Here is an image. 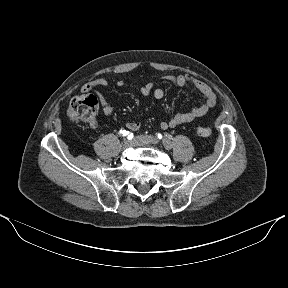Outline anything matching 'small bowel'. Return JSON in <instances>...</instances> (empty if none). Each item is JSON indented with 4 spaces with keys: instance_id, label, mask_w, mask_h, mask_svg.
I'll use <instances>...</instances> for the list:
<instances>
[{
    "instance_id": "small-bowel-1",
    "label": "small bowel",
    "mask_w": 288,
    "mask_h": 288,
    "mask_svg": "<svg viewBox=\"0 0 288 288\" xmlns=\"http://www.w3.org/2000/svg\"><path fill=\"white\" fill-rule=\"evenodd\" d=\"M162 79L178 87L190 85L203 96V101L192 107L190 110L176 112L169 120L162 121L160 127L164 130L174 128L180 124L191 122L194 119L202 117L216 104V95L213 90L206 83L190 75H164L162 76ZM124 84L125 82L123 80L117 81V86L119 87L124 86ZM107 87L108 81L104 78H98L84 85L82 92L87 93L89 91H96L103 112L106 115H112L114 113V108L107 101L103 93L98 91L99 89H105ZM141 92L146 96L152 95L157 100L164 97V90L162 88H154L151 83L145 84L141 88ZM89 125L92 128H96L97 122L94 121ZM140 127L141 124L136 121H128L126 123V128L130 131H138Z\"/></svg>"
}]
</instances>
